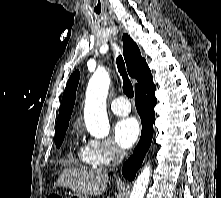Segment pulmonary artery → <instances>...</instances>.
<instances>
[{"instance_id": "pulmonary-artery-1", "label": "pulmonary artery", "mask_w": 221, "mask_h": 198, "mask_svg": "<svg viewBox=\"0 0 221 198\" xmlns=\"http://www.w3.org/2000/svg\"><path fill=\"white\" fill-rule=\"evenodd\" d=\"M111 110L118 116H126L130 113L131 106L124 96H119L111 102Z\"/></svg>"}]
</instances>
